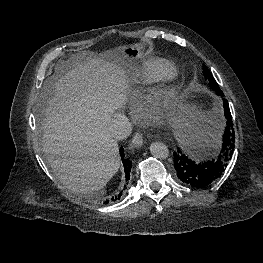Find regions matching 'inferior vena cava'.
<instances>
[{
  "label": "inferior vena cava",
  "instance_id": "obj_1",
  "mask_svg": "<svg viewBox=\"0 0 263 263\" xmlns=\"http://www.w3.org/2000/svg\"><path fill=\"white\" fill-rule=\"evenodd\" d=\"M107 131L113 139L123 140L131 134L132 127L127 117L119 115L108 123Z\"/></svg>",
  "mask_w": 263,
  "mask_h": 263
}]
</instances>
